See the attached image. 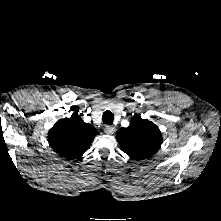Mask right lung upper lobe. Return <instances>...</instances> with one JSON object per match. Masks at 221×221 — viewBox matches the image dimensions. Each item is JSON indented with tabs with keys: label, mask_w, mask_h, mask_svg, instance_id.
I'll list each match as a JSON object with an SVG mask.
<instances>
[{
	"label": "right lung upper lobe",
	"mask_w": 221,
	"mask_h": 221,
	"mask_svg": "<svg viewBox=\"0 0 221 221\" xmlns=\"http://www.w3.org/2000/svg\"><path fill=\"white\" fill-rule=\"evenodd\" d=\"M99 132L74 113L70 118L59 120L48 133L53 150L67 159H77L88 150Z\"/></svg>",
	"instance_id": "right-lung-upper-lobe-1"
}]
</instances>
